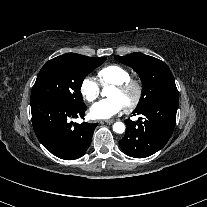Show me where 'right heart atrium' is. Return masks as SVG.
<instances>
[{"label":"right heart atrium","instance_id":"1","mask_svg":"<svg viewBox=\"0 0 207 207\" xmlns=\"http://www.w3.org/2000/svg\"><path fill=\"white\" fill-rule=\"evenodd\" d=\"M80 92L85 100L92 102L99 96L100 85L94 77L87 76L80 84Z\"/></svg>","mask_w":207,"mask_h":207}]
</instances>
